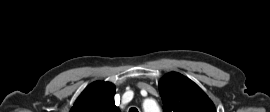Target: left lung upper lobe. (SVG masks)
I'll list each match as a JSON object with an SVG mask.
<instances>
[{"instance_id": "left-lung-upper-lobe-1", "label": "left lung upper lobe", "mask_w": 270, "mask_h": 112, "mask_svg": "<svg viewBox=\"0 0 270 112\" xmlns=\"http://www.w3.org/2000/svg\"><path fill=\"white\" fill-rule=\"evenodd\" d=\"M163 112H216L213 102L189 78L177 72L165 75L159 85Z\"/></svg>"}]
</instances>
